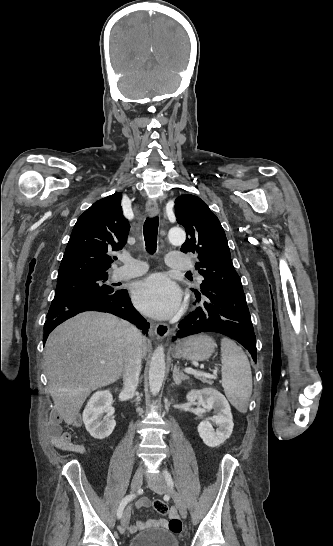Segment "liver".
Instances as JSON below:
<instances>
[{
    "label": "liver",
    "mask_w": 333,
    "mask_h": 546,
    "mask_svg": "<svg viewBox=\"0 0 333 546\" xmlns=\"http://www.w3.org/2000/svg\"><path fill=\"white\" fill-rule=\"evenodd\" d=\"M125 350L122 322L105 313H80L49 335L45 350L46 376L54 408L66 424L76 421L91 391L119 379ZM146 353L143 338L142 356Z\"/></svg>",
    "instance_id": "1"
}]
</instances>
